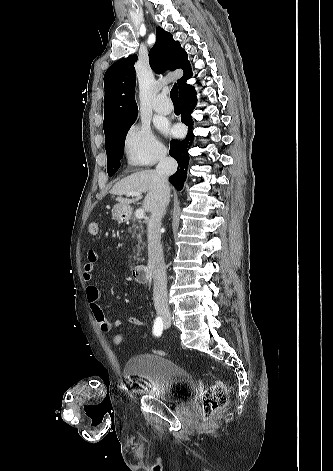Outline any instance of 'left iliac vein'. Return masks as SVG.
<instances>
[{
	"label": "left iliac vein",
	"instance_id": "1",
	"mask_svg": "<svg viewBox=\"0 0 333 471\" xmlns=\"http://www.w3.org/2000/svg\"><path fill=\"white\" fill-rule=\"evenodd\" d=\"M170 325H171V318H170V317H166V318H165V321H164V327H165V328H168V327H170Z\"/></svg>",
	"mask_w": 333,
	"mask_h": 471
}]
</instances>
